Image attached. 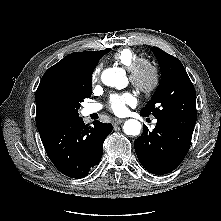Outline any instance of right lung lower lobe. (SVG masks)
Instances as JSON below:
<instances>
[{"mask_svg": "<svg viewBox=\"0 0 221 221\" xmlns=\"http://www.w3.org/2000/svg\"><path fill=\"white\" fill-rule=\"evenodd\" d=\"M93 125H85L79 117L40 133L48 157L62 174L83 178L99 164L113 126L100 121Z\"/></svg>", "mask_w": 221, "mask_h": 221, "instance_id": "1", "label": "right lung lower lobe"}]
</instances>
